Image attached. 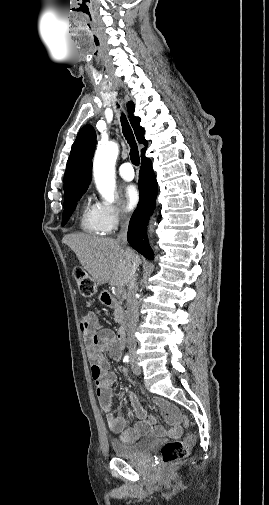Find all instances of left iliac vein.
Wrapping results in <instances>:
<instances>
[{
    "mask_svg": "<svg viewBox=\"0 0 269 505\" xmlns=\"http://www.w3.org/2000/svg\"><path fill=\"white\" fill-rule=\"evenodd\" d=\"M131 368H132V371L135 375H139L140 374V369L136 363V360L135 358L132 359L131 361Z\"/></svg>",
    "mask_w": 269,
    "mask_h": 505,
    "instance_id": "obj_1",
    "label": "left iliac vein"
}]
</instances>
